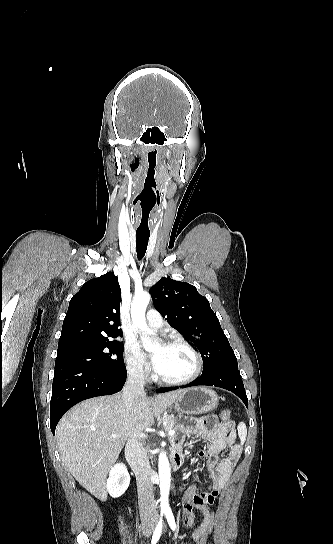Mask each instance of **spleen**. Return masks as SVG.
Here are the masks:
<instances>
[{
  "label": "spleen",
  "mask_w": 333,
  "mask_h": 544,
  "mask_svg": "<svg viewBox=\"0 0 333 544\" xmlns=\"http://www.w3.org/2000/svg\"><path fill=\"white\" fill-rule=\"evenodd\" d=\"M238 435L240 437L241 440H245L246 439V436H247V428H246V425L244 422H240L238 424Z\"/></svg>",
  "instance_id": "1"
}]
</instances>
